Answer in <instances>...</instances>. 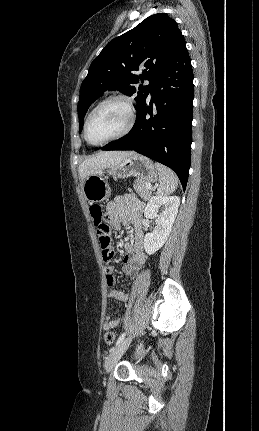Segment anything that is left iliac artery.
Returning a JSON list of instances; mask_svg holds the SVG:
<instances>
[{
    "instance_id": "1",
    "label": "left iliac artery",
    "mask_w": 259,
    "mask_h": 431,
    "mask_svg": "<svg viewBox=\"0 0 259 431\" xmlns=\"http://www.w3.org/2000/svg\"><path fill=\"white\" fill-rule=\"evenodd\" d=\"M124 338H125V333H122V334L119 336V338L117 339V341H116V345H118L121 341H123V340H124Z\"/></svg>"
}]
</instances>
